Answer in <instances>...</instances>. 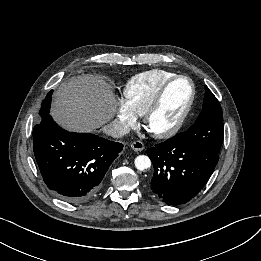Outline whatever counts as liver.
Listing matches in <instances>:
<instances>
[{
  "instance_id": "1",
  "label": "liver",
  "mask_w": 261,
  "mask_h": 261,
  "mask_svg": "<svg viewBox=\"0 0 261 261\" xmlns=\"http://www.w3.org/2000/svg\"><path fill=\"white\" fill-rule=\"evenodd\" d=\"M116 111L113 91L100 76L80 75L62 83L54 95L52 116L63 128L92 132Z\"/></svg>"
}]
</instances>
